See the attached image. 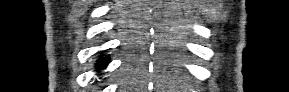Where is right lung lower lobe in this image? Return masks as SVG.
<instances>
[{
    "mask_svg": "<svg viewBox=\"0 0 289 92\" xmlns=\"http://www.w3.org/2000/svg\"><path fill=\"white\" fill-rule=\"evenodd\" d=\"M109 63V57L106 56V57H100L99 60L97 61L96 63V66L99 68V69H102L104 67H106V65Z\"/></svg>",
    "mask_w": 289,
    "mask_h": 92,
    "instance_id": "right-lung-lower-lobe-1",
    "label": "right lung lower lobe"
}]
</instances>
